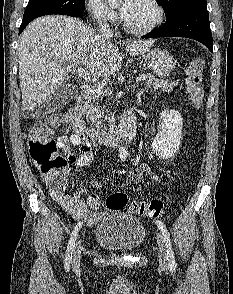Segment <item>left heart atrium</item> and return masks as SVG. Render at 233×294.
<instances>
[{"instance_id": "1", "label": "left heart atrium", "mask_w": 233, "mask_h": 294, "mask_svg": "<svg viewBox=\"0 0 233 294\" xmlns=\"http://www.w3.org/2000/svg\"><path fill=\"white\" fill-rule=\"evenodd\" d=\"M136 0H122L120 11L123 17L132 9Z\"/></svg>"}]
</instances>
